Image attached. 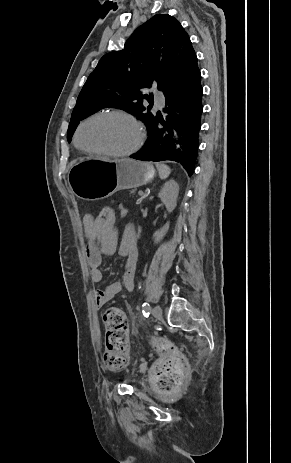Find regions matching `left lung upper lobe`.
I'll list each match as a JSON object with an SVG mask.
<instances>
[{"label":"left lung upper lobe","instance_id":"obj_1","mask_svg":"<svg viewBox=\"0 0 291 463\" xmlns=\"http://www.w3.org/2000/svg\"><path fill=\"white\" fill-rule=\"evenodd\" d=\"M197 67L195 51L181 24L170 15L153 16L134 31L123 50L99 60L79 93L68 142L81 120L105 107L123 109L148 126L154 115L142 103L152 94L147 96L143 90L157 83L165 94Z\"/></svg>","mask_w":291,"mask_h":463}]
</instances>
